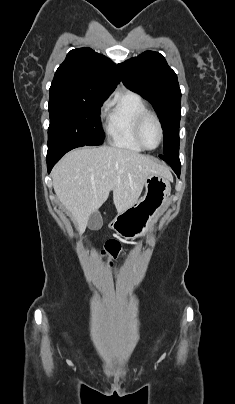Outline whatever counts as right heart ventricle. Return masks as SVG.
Returning <instances> with one entry per match:
<instances>
[{
    "instance_id": "e07e8e85",
    "label": "right heart ventricle",
    "mask_w": 235,
    "mask_h": 404,
    "mask_svg": "<svg viewBox=\"0 0 235 404\" xmlns=\"http://www.w3.org/2000/svg\"><path fill=\"white\" fill-rule=\"evenodd\" d=\"M145 111H148L145 102L134 92H126L112 101L105 124L110 142L116 147L142 151L134 135V125L138 116Z\"/></svg>"
}]
</instances>
